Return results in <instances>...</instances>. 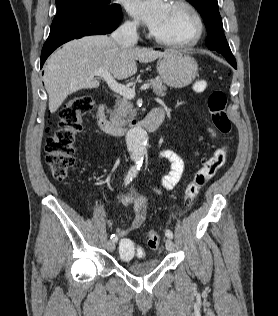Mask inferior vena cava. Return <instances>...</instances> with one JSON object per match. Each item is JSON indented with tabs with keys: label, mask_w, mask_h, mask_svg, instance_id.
<instances>
[{
	"label": "inferior vena cava",
	"mask_w": 278,
	"mask_h": 316,
	"mask_svg": "<svg viewBox=\"0 0 278 316\" xmlns=\"http://www.w3.org/2000/svg\"><path fill=\"white\" fill-rule=\"evenodd\" d=\"M111 38L122 46L135 45L138 41L137 23L125 22L112 33Z\"/></svg>",
	"instance_id": "inferior-vena-cava-1"
}]
</instances>
